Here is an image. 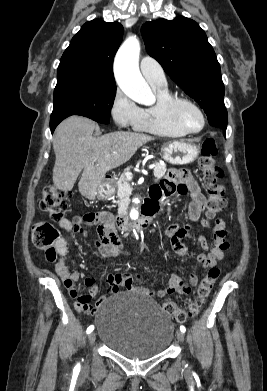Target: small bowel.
Segmentation results:
<instances>
[{"instance_id":"c3829d8e","label":"small bowel","mask_w":267,"mask_h":391,"mask_svg":"<svg viewBox=\"0 0 267 391\" xmlns=\"http://www.w3.org/2000/svg\"><path fill=\"white\" fill-rule=\"evenodd\" d=\"M190 195V201L187 204L188 218L190 221H197L203 214L206 207V198L200 191V188L194 178L186 170L170 169L164 179L150 188V202L156 208L160 203L169 197L175 195ZM99 223L98 233L100 236L99 253L103 259L119 257L122 254V245L115 235L114 216L109 211L98 213H88L83 216H76L73 219H61L59 227L66 232L85 234L83 225ZM189 226H179L171 224L166 229V234L176 244V253L181 258L188 257V251L181 241L188 235ZM225 223L218 220L213 228V239L207 241L203 236L198 237V243L203 249L197 260L205 269L216 267L217 262L222 260L224 252L229 248ZM55 251L59 259L55 263V271L64 282L72 297L76 298V306L79 310L88 314H93L97 308L104 302L105 297L101 298L95 304H92V298L98 292L96 278L87 277L84 280L88 293L79 295L76 289V283L81 278L78 271L70 270L66 265V256L68 254L67 238L61 237L55 245ZM190 285L195 286L198 283L196 274L190 275ZM109 291L117 292L119 287H125L131 291H137L148 298H163L172 293L188 295L191 293V287L176 273H173L168 284L159 289H148L144 287H135L132 284V276L129 273H121L108 276Z\"/></svg>"}]
</instances>
